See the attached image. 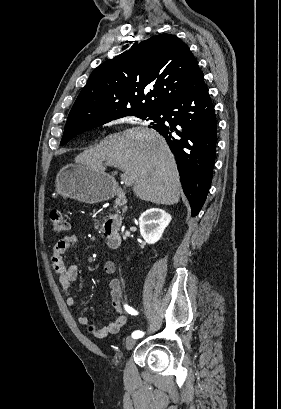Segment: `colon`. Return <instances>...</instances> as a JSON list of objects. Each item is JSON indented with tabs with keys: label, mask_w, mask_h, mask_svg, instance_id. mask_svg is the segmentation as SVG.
I'll list each match as a JSON object with an SVG mask.
<instances>
[{
	"label": "colon",
	"mask_w": 281,
	"mask_h": 409,
	"mask_svg": "<svg viewBox=\"0 0 281 409\" xmlns=\"http://www.w3.org/2000/svg\"><path fill=\"white\" fill-rule=\"evenodd\" d=\"M50 220L53 231L56 234L63 235L69 231L70 222L61 211L53 209L50 211Z\"/></svg>",
	"instance_id": "obj_1"
}]
</instances>
